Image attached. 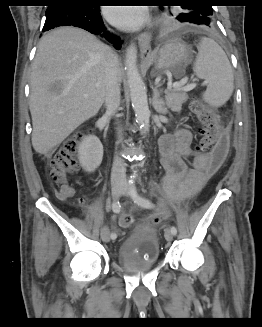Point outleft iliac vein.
Returning <instances> with one entry per match:
<instances>
[{"instance_id": "obj_1", "label": "left iliac vein", "mask_w": 262, "mask_h": 327, "mask_svg": "<svg viewBox=\"0 0 262 327\" xmlns=\"http://www.w3.org/2000/svg\"><path fill=\"white\" fill-rule=\"evenodd\" d=\"M130 190H131V185L127 184L126 182H123L121 194L126 196H131ZM164 236L168 242L173 240V234L169 229L165 230Z\"/></svg>"}]
</instances>
